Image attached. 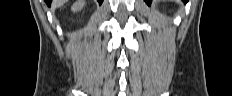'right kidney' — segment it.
Returning <instances> with one entry per match:
<instances>
[{"label":"right kidney","instance_id":"obj_1","mask_svg":"<svg viewBox=\"0 0 232 96\" xmlns=\"http://www.w3.org/2000/svg\"><path fill=\"white\" fill-rule=\"evenodd\" d=\"M84 6V1L83 0H78L72 7V11L76 12V11H80Z\"/></svg>","mask_w":232,"mask_h":96}]
</instances>
